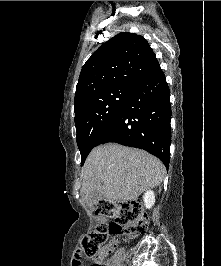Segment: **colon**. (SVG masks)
Returning a JSON list of instances; mask_svg holds the SVG:
<instances>
[{"mask_svg":"<svg viewBox=\"0 0 221 266\" xmlns=\"http://www.w3.org/2000/svg\"><path fill=\"white\" fill-rule=\"evenodd\" d=\"M96 215L100 218L113 219L110 224L101 223L92 232L87 234L81 243L84 246V258L94 259L91 266H105L102 248L110 236L128 235L137 237L144 235L148 230L149 220L143 212L139 201H101L97 205Z\"/></svg>","mask_w":221,"mask_h":266,"instance_id":"1","label":"colon"}]
</instances>
